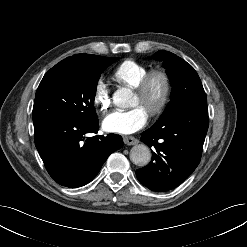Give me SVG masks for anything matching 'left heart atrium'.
I'll use <instances>...</instances> for the list:
<instances>
[{"label":"left heart atrium","mask_w":247,"mask_h":247,"mask_svg":"<svg viewBox=\"0 0 247 247\" xmlns=\"http://www.w3.org/2000/svg\"><path fill=\"white\" fill-rule=\"evenodd\" d=\"M148 112L141 106L129 110H114L107 114L103 121V129L118 134H131L146 125Z\"/></svg>","instance_id":"obj_1"}]
</instances>
